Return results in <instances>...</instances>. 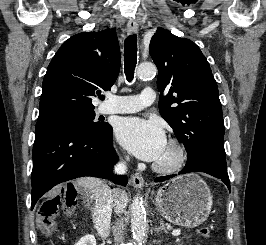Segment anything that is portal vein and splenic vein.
I'll return each instance as SVG.
<instances>
[{"instance_id":"obj_1","label":"portal vein and splenic vein","mask_w":266,"mask_h":245,"mask_svg":"<svg viewBox=\"0 0 266 245\" xmlns=\"http://www.w3.org/2000/svg\"><path fill=\"white\" fill-rule=\"evenodd\" d=\"M173 237H178V235H181V231H172Z\"/></svg>"}]
</instances>
